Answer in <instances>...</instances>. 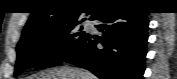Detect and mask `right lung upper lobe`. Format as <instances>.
I'll use <instances>...</instances> for the list:
<instances>
[{"instance_id":"obj_1","label":"right lung upper lobe","mask_w":177,"mask_h":79,"mask_svg":"<svg viewBox=\"0 0 177 79\" xmlns=\"http://www.w3.org/2000/svg\"><path fill=\"white\" fill-rule=\"evenodd\" d=\"M111 4L91 5V19L102 9ZM83 10L77 0H40L33 7L32 14L23 30L25 37L37 30L77 22Z\"/></svg>"}]
</instances>
